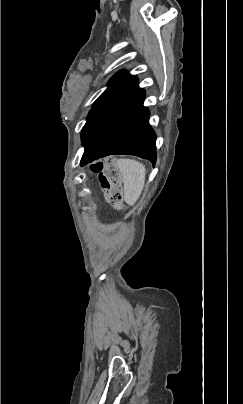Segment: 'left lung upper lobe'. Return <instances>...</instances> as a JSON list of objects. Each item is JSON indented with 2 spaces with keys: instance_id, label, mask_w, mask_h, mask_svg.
<instances>
[{
  "instance_id": "5c2ea615",
  "label": "left lung upper lobe",
  "mask_w": 243,
  "mask_h": 404,
  "mask_svg": "<svg viewBox=\"0 0 243 404\" xmlns=\"http://www.w3.org/2000/svg\"><path fill=\"white\" fill-rule=\"evenodd\" d=\"M138 88V80L135 76L129 75L125 71H120L114 75L108 82V88L94 102L92 110L89 111L87 121L82 128V143L98 118L103 113L136 91Z\"/></svg>"
}]
</instances>
